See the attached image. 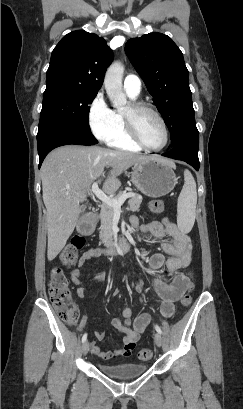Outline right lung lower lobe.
<instances>
[{
	"label": "right lung lower lobe",
	"mask_w": 243,
	"mask_h": 409,
	"mask_svg": "<svg viewBox=\"0 0 243 409\" xmlns=\"http://www.w3.org/2000/svg\"><path fill=\"white\" fill-rule=\"evenodd\" d=\"M38 154L41 166L46 155L54 148L68 145H94L97 140L91 131H85L79 128L52 125L37 134Z\"/></svg>",
	"instance_id": "1"
}]
</instances>
